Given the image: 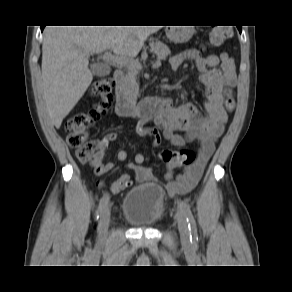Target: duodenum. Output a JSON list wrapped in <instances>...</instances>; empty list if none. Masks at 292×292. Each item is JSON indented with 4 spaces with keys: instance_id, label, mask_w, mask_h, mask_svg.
I'll return each mask as SVG.
<instances>
[{
    "instance_id": "obj_1",
    "label": "duodenum",
    "mask_w": 292,
    "mask_h": 292,
    "mask_svg": "<svg viewBox=\"0 0 292 292\" xmlns=\"http://www.w3.org/2000/svg\"><path fill=\"white\" fill-rule=\"evenodd\" d=\"M124 78L125 76L122 70H116L114 72L113 79L115 82L116 95L115 110L118 116L128 117L135 115L140 120H148L162 113L167 102L166 98L135 102L125 93L123 87Z\"/></svg>"
}]
</instances>
